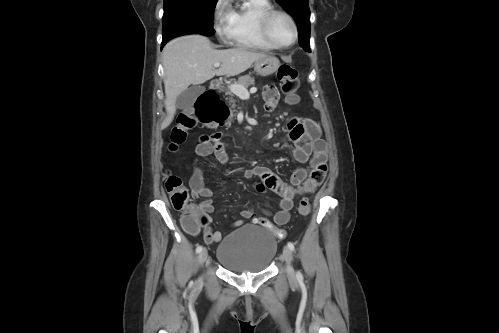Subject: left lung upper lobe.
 Here are the masks:
<instances>
[{
    "mask_svg": "<svg viewBox=\"0 0 499 333\" xmlns=\"http://www.w3.org/2000/svg\"><path fill=\"white\" fill-rule=\"evenodd\" d=\"M296 21L299 44L309 51L310 10L308 0H276Z\"/></svg>",
    "mask_w": 499,
    "mask_h": 333,
    "instance_id": "1",
    "label": "left lung upper lobe"
}]
</instances>
